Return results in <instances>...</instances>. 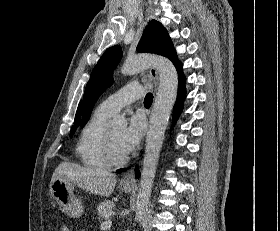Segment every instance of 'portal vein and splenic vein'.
<instances>
[{
  "label": "portal vein and splenic vein",
  "instance_id": "1",
  "mask_svg": "<svg viewBox=\"0 0 280 231\" xmlns=\"http://www.w3.org/2000/svg\"><path fill=\"white\" fill-rule=\"evenodd\" d=\"M112 225V221L111 219H108V221H103V223H101V229H107V227H111Z\"/></svg>",
  "mask_w": 280,
  "mask_h": 231
}]
</instances>
